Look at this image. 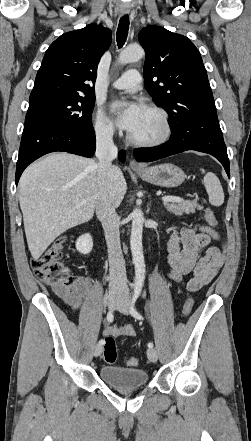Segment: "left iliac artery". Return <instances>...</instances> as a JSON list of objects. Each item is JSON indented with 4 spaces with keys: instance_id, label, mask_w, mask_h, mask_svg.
Instances as JSON below:
<instances>
[{
    "instance_id": "obj_1",
    "label": "left iliac artery",
    "mask_w": 251,
    "mask_h": 441,
    "mask_svg": "<svg viewBox=\"0 0 251 441\" xmlns=\"http://www.w3.org/2000/svg\"><path fill=\"white\" fill-rule=\"evenodd\" d=\"M140 293H141V290H140V289H136V290H135V293H134V295H133L132 302H131L130 313H131V315H132L134 318H136V319H138V320H143V317H142V316L136 311V309L134 308L135 302H136L137 298L139 297ZM148 347H149V348H152V347H153V343H152V342H149V343H148Z\"/></svg>"
}]
</instances>
